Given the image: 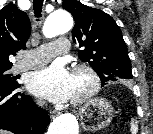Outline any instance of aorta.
Listing matches in <instances>:
<instances>
[{
  "instance_id": "762f6f07",
  "label": "aorta",
  "mask_w": 153,
  "mask_h": 134,
  "mask_svg": "<svg viewBox=\"0 0 153 134\" xmlns=\"http://www.w3.org/2000/svg\"><path fill=\"white\" fill-rule=\"evenodd\" d=\"M73 19L64 10H57L51 13L43 26V34L54 37L71 30ZM47 134H79V126L76 118L69 113L58 116L49 126Z\"/></svg>"
}]
</instances>
